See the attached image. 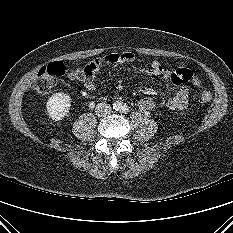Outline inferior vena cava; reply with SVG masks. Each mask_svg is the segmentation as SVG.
Masks as SVG:
<instances>
[{
  "label": "inferior vena cava",
  "mask_w": 233,
  "mask_h": 233,
  "mask_svg": "<svg viewBox=\"0 0 233 233\" xmlns=\"http://www.w3.org/2000/svg\"><path fill=\"white\" fill-rule=\"evenodd\" d=\"M111 106L107 103H99L95 108V113L98 116L104 117L111 113Z\"/></svg>",
  "instance_id": "1"
}]
</instances>
